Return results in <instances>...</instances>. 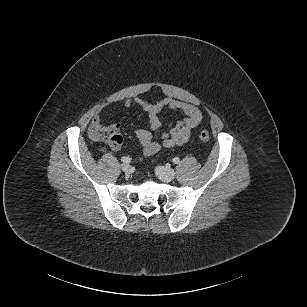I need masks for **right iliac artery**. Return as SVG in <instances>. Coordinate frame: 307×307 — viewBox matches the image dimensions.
<instances>
[{"label": "right iliac artery", "instance_id": "obj_1", "mask_svg": "<svg viewBox=\"0 0 307 307\" xmlns=\"http://www.w3.org/2000/svg\"><path fill=\"white\" fill-rule=\"evenodd\" d=\"M121 161H122L123 163H130L131 159H130L129 157H122V158H121Z\"/></svg>", "mask_w": 307, "mask_h": 307}]
</instances>
